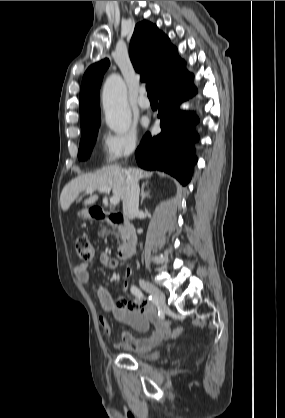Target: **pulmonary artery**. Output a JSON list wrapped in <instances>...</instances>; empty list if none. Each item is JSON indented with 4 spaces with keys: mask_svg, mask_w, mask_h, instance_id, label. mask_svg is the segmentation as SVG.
Returning a JSON list of instances; mask_svg holds the SVG:
<instances>
[{
    "mask_svg": "<svg viewBox=\"0 0 285 418\" xmlns=\"http://www.w3.org/2000/svg\"><path fill=\"white\" fill-rule=\"evenodd\" d=\"M137 104L142 110H148L151 107V103L146 97V90L144 88L140 90V96L137 99Z\"/></svg>",
    "mask_w": 285,
    "mask_h": 418,
    "instance_id": "1",
    "label": "pulmonary artery"
}]
</instances>
